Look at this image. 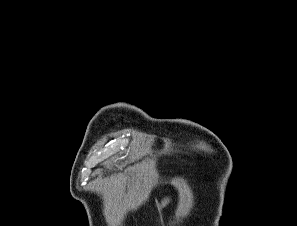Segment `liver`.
<instances>
[{
  "instance_id": "1",
  "label": "liver",
  "mask_w": 297,
  "mask_h": 226,
  "mask_svg": "<svg viewBox=\"0 0 297 226\" xmlns=\"http://www.w3.org/2000/svg\"><path fill=\"white\" fill-rule=\"evenodd\" d=\"M170 202L169 198H164L161 202V204L157 203V208L158 210H161L162 208H164L168 203Z\"/></svg>"
}]
</instances>
